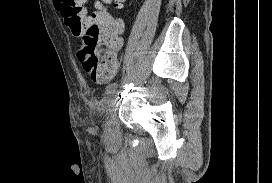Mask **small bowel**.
<instances>
[{"mask_svg":"<svg viewBox=\"0 0 272 183\" xmlns=\"http://www.w3.org/2000/svg\"><path fill=\"white\" fill-rule=\"evenodd\" d=\"M56 5H57V7H58V9H59V11L61 13V15L64 17V11H63L62 2L60 0H56ZM117 69H118V65H117L115 71L107 79L100 80L98 78H94L93 76H92V78H93L94 81L99 82V83L107 82V81H109L110 79H112L115 76V74L117 72Z\"/></svg>","mask_w":272,"mask_h":183,"instance_id":"1","label":"small bowel"}]
</instances>
